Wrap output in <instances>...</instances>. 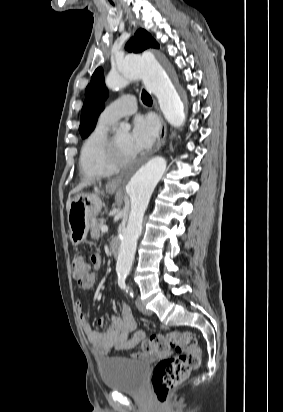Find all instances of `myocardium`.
Here are the masks:
<instances>
[{
  "label": "myocardium",
  "mask_w": 283,
  "mask_h": 412,
  "mask_svg": "<svg viewBox=\"0 0 283 412\" xmlns=\"http://www.w3.org/2000/svg\"><path fill=\"white\" fill-rule=\"evenodd\" d=\"M107 162L116 170L124 168L136 159V155L128 158L122 157L115 136L109 137L106 145Z\"/></svg>",
  "instance_id": "f54148a6"
}]
</instances>
